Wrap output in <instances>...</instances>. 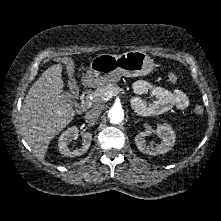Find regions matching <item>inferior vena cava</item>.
Listing matches in <instances>:
<instances>
[{
	"label": "inferior vena cava",
	"mask_w": 221,
	"mask_h": 221,
	"mask_svg": "<svg viewBox=\"0 0 221 221\" xmlns=\"http://www.w3.org/2000/svg\"><path fill=\"white\" fill-rule=\"evenodd\" d=\"M101 111L97 108L89 110L85 114V121L87 123H94L100 116Z\"/></svg>",
	"instance_id": "602c4592"
}]
</instances>
